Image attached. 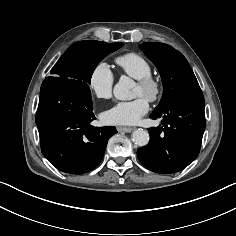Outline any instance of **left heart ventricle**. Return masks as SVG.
I'll return each instance as SVG.
<instances>
[{"instance_id": "b2bd125f", "label": "left heart ventricle", "mask_w": 236, "mask_h": 236, "mask_svg": "<svg viewBox=\"0 0 236 236\" xmlns=\"http://www.w3.org/2000/svg\"><path fill=\"white\" fill-rule=\"evenodd\" d=\"M134 96H144V97H146L145 91L138 84H136V86H135Z\"/></svg>"}]
</instances>
